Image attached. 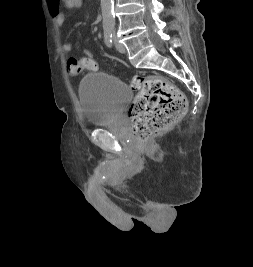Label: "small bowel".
Wrapping results in <instances>:
<instances>
[{
	"label": "small bowel",
	"instance_id": "obj_1",
	"mask_svg": "<svg viewBox=\"0 0 253 267\" xmlns=\"http://www.w3.org/2000/svg\"><path fill=\"white\" fill-rule=\"evenodd\" d=\"M48 9L52 16L56 19L59 28H62L65 23V10L78 9L83 5V0H46ZM73 47L69 42L62 44V51L70 53Z\"/></svg>",
	"mask_w": 253,
	"mask_h": 267
}]
</instances>
